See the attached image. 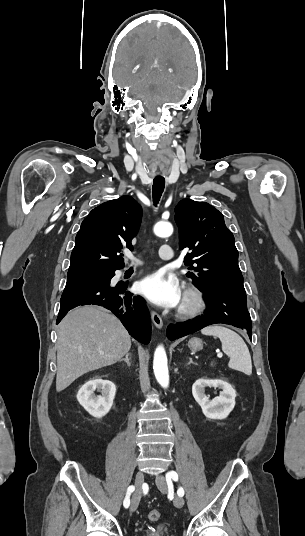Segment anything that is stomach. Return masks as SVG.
I'll list each match as a JSON object with an SVG mask.
<instances>
[{
  "label": "stomach",
  "mask_w": 305,
  "mask_h": 536,
  "mask_svg": "<svg viewBox=\"0 0 305 536\" xmlns=\"http://www.w3.org/2000/svg\"><path fill=\"white\" fill-rule=\"evenodd\" d=\"M188 346L192 352H199V350H202L203 348L202 340H200V338H191L188 342Z\"/></svg>",
  "instance_id": "obj_1"
}]
</instances>
